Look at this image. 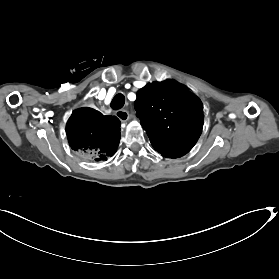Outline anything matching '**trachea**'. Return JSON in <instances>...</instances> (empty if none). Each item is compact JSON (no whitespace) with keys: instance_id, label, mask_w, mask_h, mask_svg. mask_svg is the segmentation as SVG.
<instances>
[{"instance_id":"obj_1","label":"trachea","mask_w":279,"mask_h":279,"mask_svg":"<svg viewBox=\"0 0 279 279\" xmlns=\"http://www.w3.org/2000/svg\"><path fill=\"white\" fill-rule=\"evenodd\" d=\"M125 104V96L121 93L116 94L111 101V108L114 110L121 109Z\"/></svg>"}]
</instances>
